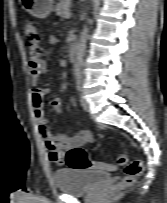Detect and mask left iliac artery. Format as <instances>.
Wrapping results in <instances>:
<instances>
[{"instance_id": "1", "label": "left iliac artery", "mask_w": 167, "mask_h": 203, "mask_svg": "<svg viewBox=\"0 0 167 203\" xmlns=\"http://www.w3.org/2000/svg\"><path fill=\"white\" fill-rule=\"evenodd\" d=\"M76 83H77V88L78 90H81V76H77V80H76Z\"/></svg>"}]
</instances>
